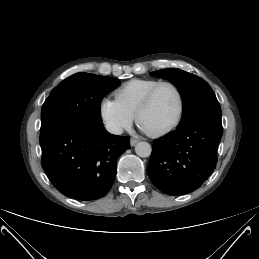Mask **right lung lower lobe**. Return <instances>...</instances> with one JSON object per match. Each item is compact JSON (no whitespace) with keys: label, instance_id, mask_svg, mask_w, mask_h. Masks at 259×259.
Wrapping results in <instances>:
<instances>
[{"label":"right lung lower lobe","instance_id":"98d812e1","mask_svg":"<svg viewBox=\"0 0 259 259\" xmlns=\"http://www.w3.org/2000/svg\"><path fill=\"white\" fill-rule=\"evenodd\" d=\"M40 145L41 164L54 187L69 198L94 201L110 190L130 139L108 133L102 124L64 122L41 130Z\"/></svg>","mask_w":259,"mask_h":259}]
</instances>
